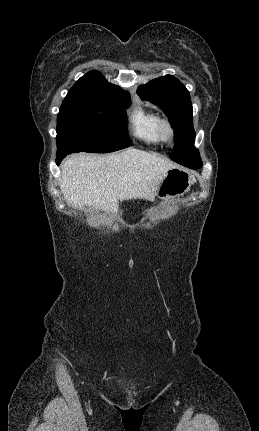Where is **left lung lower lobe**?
Instances as JSON below:
<instances>
[{
  "mask_svg": "<svg viewBox=\"0 0 259 431\" xmlns=\"http://www.w3.org/2000/svg\"><path fill=\"white\" fill-rule=\"evenodd\" d=\"M202 166V163L198 164L196 167L194 168H200Z\"/></svg>",
  "mask_w": 259,
  "mask_h": 431,
  "instance_id": "left-lung-lower-lobe-1",
  "label": "left lung lower lobe"
}]
</instances>
